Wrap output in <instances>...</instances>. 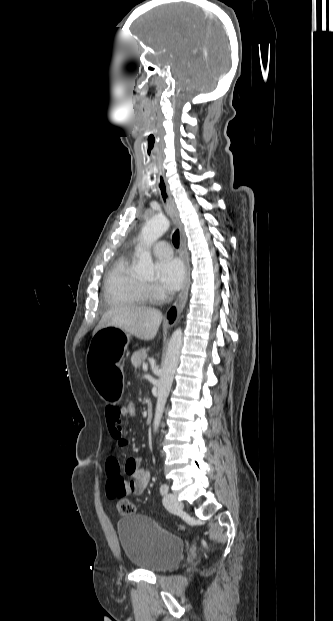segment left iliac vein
<instances>
[{
    "label": "left iliac vein",
    "mask_w": 333,
    "mask_h": 621,
    "mask_svg": "<svg viewBox=\"0 0 333 621\" xmlns=\"http://www.w3.org/2000/svg\"><path fill=\"white\" fill-rule=\"evenodd\" d=\"M164 505L170 511H179L183 508L182 502L177 499V496L168 493L164 498Z\"/></svg>",
    "instance_id": "4c4485c4"
}]
</instances>
